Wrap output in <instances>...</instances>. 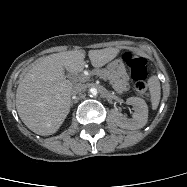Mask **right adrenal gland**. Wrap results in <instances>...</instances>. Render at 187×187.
<instances>
[{
    "label": "right adrenal gland",
    "instance_id": "right-adrenal-gland-1",
    "mask_svg": "<svg viewBox=\"0 0 187 187\" xmlns=\"http://www.w3.org/2000/svg\"><path fill=\"white\" fill-rule=\"evenodd\" d=\"M73 103H74V102H73V101H71V104H70V105H71V107L73 106Z\"/></svg>",
    "mask_w": 187,
    "mask_h": 187
}]
</instances>
